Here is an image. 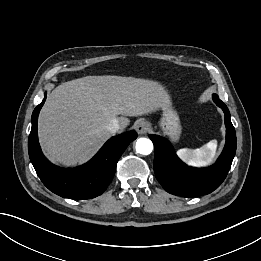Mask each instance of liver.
<instances>
[{
	"mask_svg": "<svg viewBox=\"0 0 261 261\" xmlns=\"http://www.w3.org/2000/svg\"><path fill=\"white\" fill-rule=\"evenodd\" d=\"M169 94L158 82L121 76H86L57 86L38 121L39 141L54 163L74 166L90 159L108 140L107 125L168 106Z\"/></svg>",
	"mask_w": 261,
	"mask_h": 261,
	"instance_id": "liver-1",
	"label": "liver"
}]
</instances>
